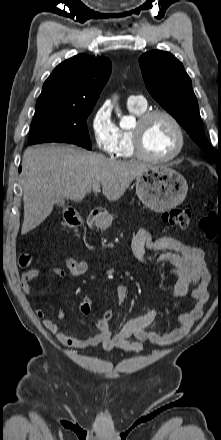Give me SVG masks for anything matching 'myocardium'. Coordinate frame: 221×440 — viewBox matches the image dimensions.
<instances>
[{
    "label": "myocardium",
    "instance_id": "obj_1",
    "mask_svg": "<svg viewBox=\"0 0 221 440\" xmlns=\"http://www.w3.org/2000/svg\"><path fill=\"white\" fill-rule=\"evenodd\" d=\"M156 116L166 117L174 126L178 137L175 150L170 155L164 157H156L149 154L144 148L142 141V129L144 125ZM131 138L135 155L140 159L156 163H165L175 159L180 155L185 146V133L181 123L171 112L165 109H153L140 114L137 119L136 127L131 130Z\"/></svg>",
    "mask_w": 221,
    "mask_h": 440
}]
</instances>
